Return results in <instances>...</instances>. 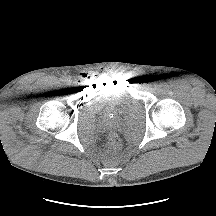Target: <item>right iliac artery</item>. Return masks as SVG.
Instances as JSON below:
<instances>
[{
    "instance_id": "right-iliac-artery-1",
    "label": "right iliac artery",
    "mask_w": 216,
    "mask_h": 216,
    "mask_svg": "<svg viewBox=\"0 0 216 216\" xmlns=\"http://www.w3.org/2000/svg\"><path fill=\"white\" fill-rule=\"evenodd\" d=\"M60 80H61V81H66V77L62 76V77L60 78Z\"/></svg>"
}]
</instances>
